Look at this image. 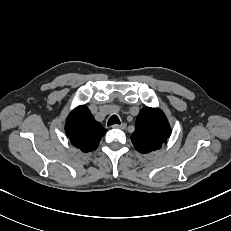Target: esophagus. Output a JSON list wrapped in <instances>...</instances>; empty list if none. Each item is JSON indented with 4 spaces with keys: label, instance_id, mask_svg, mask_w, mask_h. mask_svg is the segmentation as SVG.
Listing matches in <instances>:
<instances>
[{
    "label": "esophagus",
    "instance_id": "1",
    "mask_svg": "<svg viewBox=\"0 0 231 231\" xmlns=\"http://www.w3.org/2000/svg\"><path fill=\"white\" fill-rule=\"evenodd\" d=\"M126 124L125 123H122L120 125L116 124V125H113L112 127L113 128H119V129H125L126 128Z\"/></svg>",
    "mask_w": 231,
    "mask_h": 231
}]
</instances>
